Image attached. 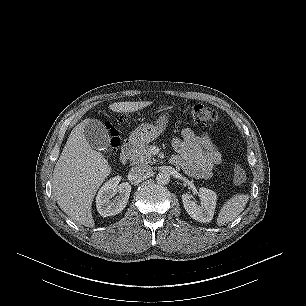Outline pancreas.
<instances>
[{
	"label": "pancreas",
	"instance_id": "1",
	"mask_svg": "<svg viewBox=\"0 0 306 306\" xmlns=\"http://www.w3.org/2000/svg\"><path fill=\"white\" fill-rule=\"evenodd\" d=\"M154 145L143 144L138 147L131 156V160L135 164H154L156 160L151 152Z\"/></svg>",
	"mask_w": 306,
	"mask_h": 306
}]
</instances>
